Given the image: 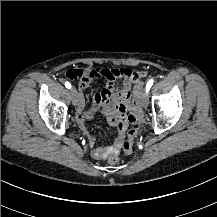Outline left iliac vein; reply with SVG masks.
I'll list each match as a JSON object with an SVG mask.
<instances>
[{
  "mask_svg": "<svg viewBox=\"0 0 217 217\" xmlns=\"http://www.w3.org/2000/svg\"><path fill=\"white\" fill-rule=\"evenodd\" d=\"M140 102L144 108H147V106H148V94H147V92H145V91L141 92Z\"/></svg>",
  "mask_w": 217,
  "mask_h": 217,
  "instance_id": "1",
  "label": "left iliac vein"
}]
</instances>
